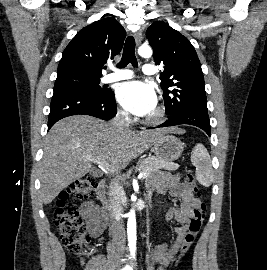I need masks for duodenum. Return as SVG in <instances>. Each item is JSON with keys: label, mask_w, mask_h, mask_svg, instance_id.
<instances>
[{"label": "duodenum", "mask_w": 267, "mask_h": 270, "mask_svg": "<svg viewBox=\"0 0 267 270\" xmlns=\"http://www.w3.org/2000/svg\"><path fill=\"white\" fill-rule=\"evenodd\" d=\"M107 183L105 179L99 181L96 189L97 198L110 210V217L112 220L116 221L119 218V211L113 209L108 201L107 192H106Z\"/></svg>", "instance_id": "410a0bca"}]
</instances>
